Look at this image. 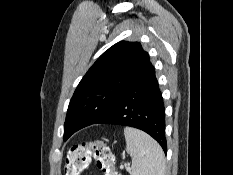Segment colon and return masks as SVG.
Listing matches in <instances>:
<instances>
[{
	"label": "colon",
	"mask_w": 233,
	"mask_h": 175,
	"mask_svg": "<svg viewBox=\"0 0 233 175\" xmlns=\"http://www.w3.org/2000/svg\"><path fill=\"white\" fill-rule=\"evenodd\" d=\"M94 157L103 175H121L116 170V158L105 141L95 140L72 146L67 153L64 175H81Z\"/></svg>",
	"instance_id": "5ec220e1"
}]
</instances>
